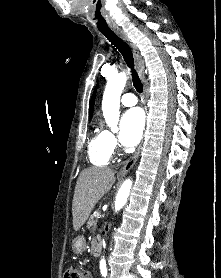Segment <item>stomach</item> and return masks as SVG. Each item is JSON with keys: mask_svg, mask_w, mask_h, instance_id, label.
I'll list each match as a JSON object with an SVG mask.
<instances>
[{"mask_svg": "<svg viewBox=\"0 0 221 278\" xmlns=\"http://www.w3.org/2000/svg\"><path fill=\"white\" fill-rule=\"evenodd\" d=\"M85 249V239L83 236L76 237L72 242V251L75 254H81Z\"/></svg>", "mask_w": 221, "mask_h": 278, "instance_id": "0dacf381", "label": "stomach"}]
</instances>
